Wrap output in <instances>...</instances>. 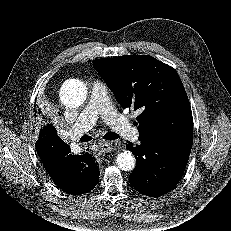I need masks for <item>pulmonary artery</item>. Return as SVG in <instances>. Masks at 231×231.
I'll return each instance as SVG.
<instances>
[{
  "mask_svg": "<svg viewBox=\"0 0 231 231\" xmlns=\"http://www.w3.org/2000/svg\"><path fill=\"white\" fill-rule=\"evenodd\" d=\"M98 117H102L111 128L126 139L135 141L140 136L139 131L130 124L128 118L115 109L110 101L107 85L100 80L92 83L89 101L71 127L69 137L75 140L81 133L91 129Z\"/></svg>",
  "mask_w": 231,
  "mask_h": 231,
  "instance_id": "e3ab8cb5",
  "label": "pulmonary artery"
}]
</instances>
